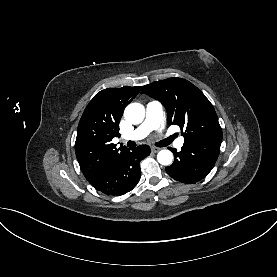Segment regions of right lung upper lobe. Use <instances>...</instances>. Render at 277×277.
<instances>
[{
	"instance_id": "right-lung-upper-lobe-1",
	"label": "right lung upper lobe",
	"mask_w": 277,
	"mask_h": 277,
	"mask_svg": "<svg viewBox=\"0 0 277 277\" xmlns=\"http://www.w3.org/2000/svg\"><path fill=\"white\" fill-rule=\"evenodd\" d=\"M141 86L108 88L97 93L80 119L75 153L88 182L95 180L127 149L111 141L120 136L119 122L125 107L140 92Z\"/></svg>"
}]
</instances>
